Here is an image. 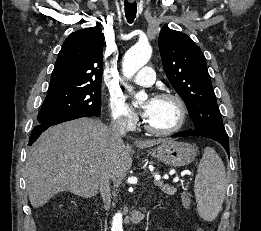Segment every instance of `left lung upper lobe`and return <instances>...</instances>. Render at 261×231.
<instances>
[{"label":"left lung upper lobe","mask_w":261,"mask_h":231,"mask_svg":"<svg viewBox=\"0 0 261 231\" xmlns=\"http://www.w3.org/2000/svg\"><path fill=\"white\" fill-rule=\"evenodd\" d=\"M164 71L183 98L195 129L228 140L201 49L186 34L165 26L159 35Z\"/></svg>","instance_id":"left-lung-upper-lobe-1"}]
</instances>
